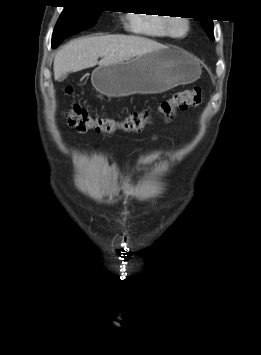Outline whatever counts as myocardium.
I'll list each match as a JSON object with an SVG mask.
<instances>
[{"label": "myocardium", "instance_id": "f54148a6", "mask_svg": "<svg viewBox=\"0 0 261 355\" xmlns=\"http://www.w3.org/2000/svg\"><path fill=\"white\" fill-rule=\"evenodd\" d=\"M178 22H181L184 25V32L181 34H177L174 32V26ZM165 27H166V31H167V34L169 37L174 38V39H183L190 32V21H189V19L184 18V17H180V18L169 17L166 20Z\"/></svg>", "mask_w": 261, "mask_h": 355}]
</instances>
